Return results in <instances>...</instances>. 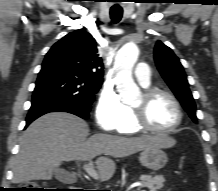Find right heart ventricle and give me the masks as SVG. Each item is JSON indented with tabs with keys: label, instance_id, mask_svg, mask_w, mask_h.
Wrapping results in <instances>:
<instances>
[{
	"label": "right heart ventricle",
	"instance_id": "right-heart-ventricle-1",
	"mask_svg": "<svg viewBox=\"0 0 218 191\" xmlns=\"http://www.w3.org/2000/svg\"><path fill=\"white\" fill-rule=\"evenodd\" d=\"M140 130L134 123L133 119V111L130 107L127 108V118L122 122V124L118 128V132L125 134H135Z\"/></svg>",
	"mask_w": 218,
	"mask_h": 191
}]
</instances>
